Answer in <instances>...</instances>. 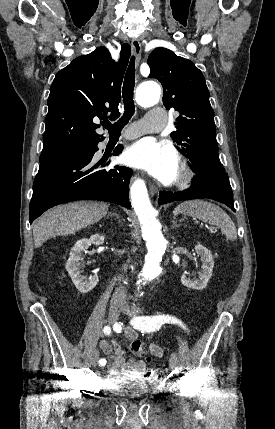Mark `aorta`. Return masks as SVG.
<instances>
[{"instance_id": "762f6f07", "label": "aorta", "mask_w": 275, "mask_h": 429, "mask_svg": "<svg viewBox=\"0 0 275 429\" xmlns=\"http://www.w3.org/2000/svg\"><path fill=\"white\" fill-rule=\"evenodd\" d=\"M160 87L154 82L141 84L137 89L136 100L142 107H150L158 103ZM131 204L141 225L142 238L146 242L147 255L140 273L138 283H146L160 275V263L166 251L167 241L162 234L161 225L156 219V211L152 207L145 182L136 179L131 188Z\"/></svg>"}]
</instances>
